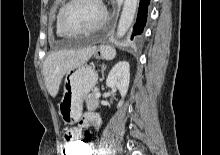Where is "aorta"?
<instances>
[{
    "instance_id": "obj_1",
    "label": "aorta",
    "mask_w": 220,
    "mask_h": 155,
    "mask_svg": "<svg viewBox=\"0 0 220 155\" xmlns=\"http://www.w3.org/2000/svg\"><path fill=\"white\" fill-rule=\"evenodd\" d=\"M139 0H124L122 13L119 19L117 36L123 37L133 23Z\"/></svg>"
}]
</instances>
